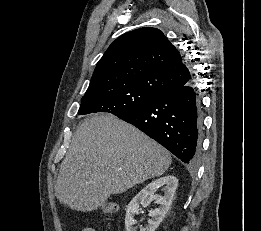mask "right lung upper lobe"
Returning <instances> with one entry per match:
<instances>
[{
    "label": "right lung upper lobe",
    "instance_id": "1",
    "mask_svg": "<svg viewBox=\"0 0 261 231\" xmlns=\"http://www.w3.org/2000/svg\"><path fill=\"white\" fill-rule=\"evenodd\" d=\"M192 77L165 35L159 29L145 27L123 34L109 46L86 93L135 86L160 96Z\"/></svg>",
    "mask_w": 261,
    "mask_h": 231
}]
</instances>
